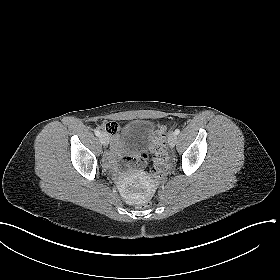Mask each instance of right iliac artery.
<instances>
[{
    "label": "right iliac artery",
    "instance_id": "right-iliac-artery-1",
    "mask_svg": "<svg viewBox=\"0 0 280 280\" xmlns=\"http://www.w3.org/2000/svg\"><path fill=\"white\" fill-rule=\"evenodd\" d=\"M100 134H101V133H100L99 130H95V135H96V136H100Z\"/></svg>",
    "mask_w": 280,
    "mask_h": 280
}]
</instances>
